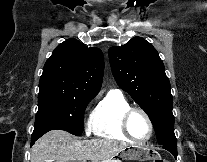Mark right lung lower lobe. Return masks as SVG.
Segmentation results:
<instances>
[{
  "label": "right lung lower lobe",
  "instance_id": "obj_1",
  "mask_svg": "<svg viewBox=\"0 0 207 162\" xmlns=\"http://www.w3.org/2000/svg\"><path fill=\"white\" fill-rule=\"evenodd\" d=\"M46 132H48V131L43 130V131H40V132H38V133L32 134V137H31V145H32L38 138H40L43 134H45Z\"/></svg>",
  "mask_w": 207,
  "mask_h": 162
}]
</instances>
